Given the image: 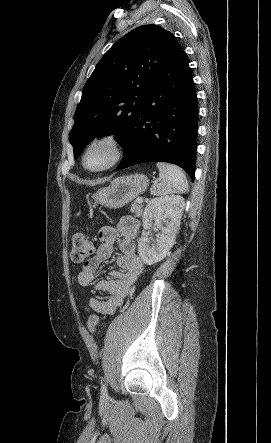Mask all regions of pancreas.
<instances>
[{"label":"pancreas","instance_id":"pancreas-1","mask_svg":"<svg viewBox=\"0 0 271 443\" xmlns=\"http://www.w3.org/2000/svg\"><path fill=\"white\" fill-rule=\"evenodd\" d=\"M131 206L132 208H130V212H132V214H136L137 218H140L143 208L142 204H138V202H133Z\"/></svg>","mask_w":271,"mask_h":443}]
</instances>
